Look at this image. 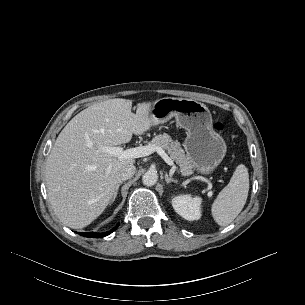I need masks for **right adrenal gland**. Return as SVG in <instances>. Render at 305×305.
Segmentation results:
<instances>
[{"label": "right adrenal gland", "mask_w": 305, "mask_h": 305, "mask_svg": "<svg viewBox=\"0 0 305 305\" xmlns=\"http://www.w3.org/2000/svg\"><path fill=\"white\" fill-rule=\"evenodd\" d=\"M122 182H118L115 186V191H114V194H113V197H112V200L111 202L113 203L117 197V194H118V190H119V187L121 186Z\"/></svg>", "instance_id": "obj_1"}]
</instances>
